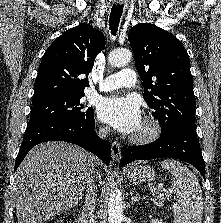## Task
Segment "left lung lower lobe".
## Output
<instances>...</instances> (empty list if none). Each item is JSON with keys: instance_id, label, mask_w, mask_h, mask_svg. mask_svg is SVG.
<instances>
[{"instance_id": "left-lung-lower-lobe-1", "label": "left lung lower lobe", "mask_w": 221, "mask_h": 223, "mask_svg": "<svg viewBox=\"0 0 221 223\" xmlns=\"http://www.w3.org/2000/svg\"><path fill=\"white\" fill-rule=\"evenodd\" d=\"M121 167L137 160L170 157L192 164L205 178V164L202 157L196 128L182 124L152 143L140 146H124L121 149Z\"/></svg>"}]
</instances>
